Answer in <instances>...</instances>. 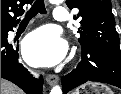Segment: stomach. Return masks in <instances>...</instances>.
<instances>
[{
  "label": "stomach",
  "mask_w": 121,
  "mask_h": 94,
  "mask_svg": "<svg viewBox=\"0 0 121 94\" xmlns=\"http://www.w3.org/2000/svg\"><path fill=\"white\" fill-rule=\"evenodd\" d=\"M72 94H114L113 91L104 84L86 83L76 89Z\"/></svg>",
  "instance_id": "stomach-1"
}]
</instances>
